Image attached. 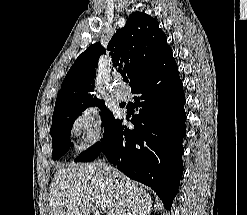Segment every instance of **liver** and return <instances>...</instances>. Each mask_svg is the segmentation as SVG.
<instances>
[{
	"label": "liver",
	"instance_id": "liver-1",
	"mask_svg": "<svg viewBox=\"0 0 247 215\" xmlns=\"http://www.w3.org/2000/svg\"><path fill=\"white\" fill-rule=\"evenodd\" d=\"M103 200L106 215H149L152 198L142 186L101 162L70 164L56 171L49 189V215H88Z\"/></svg>",
	"mask_w": 247,
	"mask_h": 215
}]
</instances>
